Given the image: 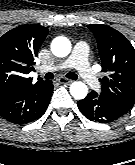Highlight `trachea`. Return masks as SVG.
Returning a JSON list of instances; mask_svg holds the SVG:
<instances>
[{
  "mask_svg": "<svg viewBox=\"0 0 135 165\" xmlns=\"http://www.w3.org/2000/svg\"><path fill=\"white\" fill-rule=\"evenodd\" d=\"M66 77L69 78V79H73V80H76L78 78V76L75 73H71V72L67 73ZM53 78H54V75L51 72H48L45 75V79H47V80L53 79Z\"/></svg>",
  "mask_w": 135,
  "mask_h": 165,
  "instance_id": "1",
  "label": "trachea"
}]
</instances>
